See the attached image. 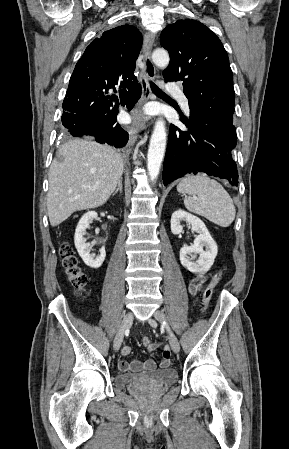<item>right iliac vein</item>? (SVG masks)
Here are the masks:
<instances>
[{"label": "right iliac vein", "instance_id": "right-iliac-vein-1", "mask_svg": "<svg viewBox=\"0 0 289 449\" xmlns=\"http://www.w3.org/2000/svg\"><path fill=\"white\" fill-rule=\"evenodd\" d=\"M132 322H133V314L131 312L126 313L114 339L113 347L115 351H118L120 349L124 334L126 330L130 327Z\"/></svg>", "mask_w": 289, "mask_h": 449}]
</instances>
